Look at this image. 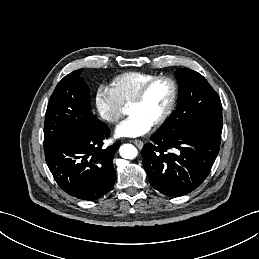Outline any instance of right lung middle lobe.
Masks as SVG:
<instances>
[{
    "label": "right lung middle lobe",
    "mask_w": 259,
    "mask_h": 259,
    "mask_svg": "<svg viewBox=\"0 0 259 259\" xmlns=\"http://www.w3.org/2000/svg\"><path fill=\"white\" fill-rule=\"evenodd\" d=\"M81 72L66 75L53 91L45 115L44 141L62 128L83 130L99 121L90 111V89L79 77Z\"/></svg>",
    "instance_id": "1"
}]
</instances>
